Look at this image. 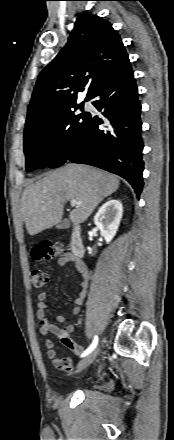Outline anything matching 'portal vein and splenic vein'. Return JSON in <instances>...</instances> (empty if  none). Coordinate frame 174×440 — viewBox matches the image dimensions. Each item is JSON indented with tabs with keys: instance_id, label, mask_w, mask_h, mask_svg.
<instances>
[{
	"instance_id": "obj_1",
	"label": "portal vein and splenic vein",
	"mask_w": 174,
	"mask_h": 440,
	"mask_svg": "<svg viewBox=\"0 0 174 440\" xmlns=\"http://www.w3.org/2000/svg\"><path fill=\"white\" fill-rule=\"evenodd\" d=\"M70 204H71V206H81V203L80 202H78V201H76V200H71L70 201Z\"/></svg>"
}]
</instances>
